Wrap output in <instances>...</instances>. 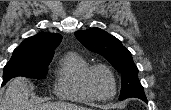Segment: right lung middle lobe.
I'll use <instances>...</instances> for the list:
<instances>
[{
    "mask_svg": "<svg viewBox=\"0 0 171 110\" xmlns=\"http://www.w3.org/2000/svg\"><path fill=\"white\" fill-rule=\"evenodd\" d=\"M52 57L53 56H27L14 51L12 58L4 67L3 85L16 76L34 79L45 78Z\"/></svg>",
    "mask_w": 171,
    "mask_h": 110,
    "instance_id": "dd1d6c3e",
    "label": "right lung middle lobe"
}]
</instances>
